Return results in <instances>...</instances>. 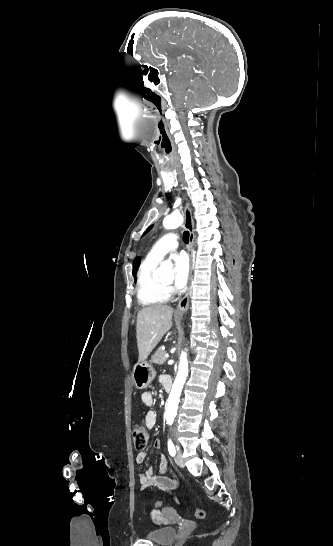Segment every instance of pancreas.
Here are the masks:
<instances>
[{
	"mask_svg": "<svg viewBox=\"0 0 333 546\" xmlns=\"http://www.w3.org/2000/svg\"><path fill=\"white\" fill-rule=\"evenodd\" d=\"M165 354L166 351L163 348H159L152 356L151 361L155 364L162 365L166 361Z\"/></svg>",
	"mask_w": 333,
	"mask_h": 546,
	"instance_id": "cf45deb5",
	"label": "pancreas"
}]
</instances>
